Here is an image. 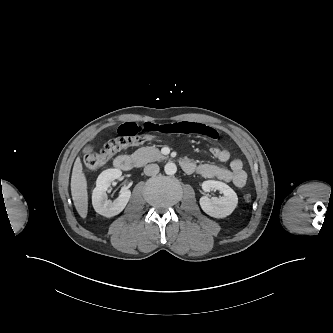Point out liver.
I'll return each instance as SVG.
<instances>
[{"label": "liver", "instance_id": "6515ba94", "mask_svg": "<svg viewBox=\"0 0 333 333\" xmlns=\"http://www.w3.org/2000/svg\"><path fill=\"white\" fill-rule=\"evenodd\" d=\"M80 158H76L71 176V194L78 214L82 218L87 217L88 213V192L87 181L83 173Z\"/></svg>", "mask_w": 333, "mask_h": 333}]
</instances>
